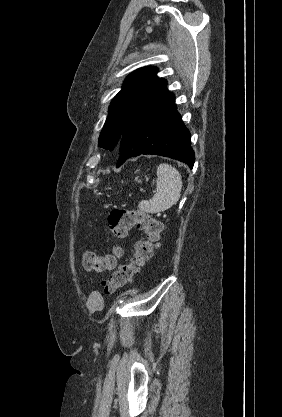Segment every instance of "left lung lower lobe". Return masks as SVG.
Listing matches in <instances>:
<instances>
[{"instance_id": "obj_1", "label": "left lung lower lobe", "mask_w": 282, "mask_h": 417, "mask_svg": "<svg viewBox=\"0 0 282 417\" xmlns=\"http://www.w3.org/2000/svg\"><path fill=\"white\" fill-rule=\"evenodd\" d=\"M166 86L163 80L127 119L118 143L117 167L141 154L170 157L193 167L195 154L190 146V132L177 112L174 94Z\"/></svg>"}]
</instances>
